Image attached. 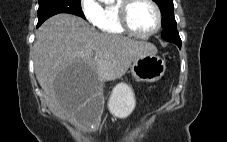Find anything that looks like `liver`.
Listing matches in <instances>:
<instances>
[{"mask_svg": "<svg viewBox=\"0 0 227 142\" xmlns=\"http://www.w3.org/2000/svg\"><path fill=\"white\" fill-rule=\"evenodd\" d=\"M157 48L144 41L97 32L82 18L58 14L46 20L36 31L33 61L36 78L48 107L60 117L75 122V114L96 97L101 83L121 78L139 57L156 54ZM82 61V66H69ZM85 68L92 78L56 81L58 68Z\"/></svg>", "mask_w": 227, "mask_h": 142, "instance_id": "liver-1", "label": "liver"}]
</instances>
